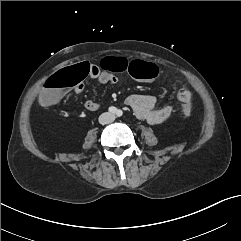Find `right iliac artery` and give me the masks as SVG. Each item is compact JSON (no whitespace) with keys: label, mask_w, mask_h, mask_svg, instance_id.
Masks as SVG:
<instances>
[{"label":"right iliac artery","mask_w":241,"mask_h":241,"mask_svg":"<svg viewBox=\"0 0 241 241\" xmlns=\"http://www.w3.org/2000/svg\"><path fill=\"white\" fill-rule=\"evenodd\" d=\"M109 112L114 114L117 112V109L115 107L111 106V107H109Z\"/></svg>","instance_id":"1"}]
</instances>
